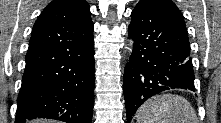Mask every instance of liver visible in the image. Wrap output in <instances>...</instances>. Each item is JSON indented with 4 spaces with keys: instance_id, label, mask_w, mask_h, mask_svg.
<instances>
[{
    "instance_id": "1",
    "label": "liver",
    "mask_w": 221,
    "mask_h": 123,
    "mask_svg": "<svg viewBox=\"0 0 221 123\" xmlns=\"http://www.w3.org/2000/svg\"><path fill=\"white\" fill-rule=\"evenodd\" d=\"M31 123H54V121L49 120H33Z\"/></svg>"
}]
</instances>
